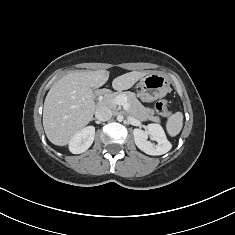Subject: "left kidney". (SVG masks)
Segmentation results:
<instances>
[{
	"instance_id": "left-kidney-1",
	"label": "left kidney",
	"mask_w": 235,
	"mask_h": 235,
	"mask_svg": "<svg viewBox=\"0 0 235 235\" xmlns=\"http://www.w3.org/2000/svg\"><path fill=\"white\" fill-rule=\"evenodd\" d=\"M133 135L136 146L148 155H163L171 149V143L159 124H148L146 131L136 128L133 130ZM148 135L157 142V145L147 140Z\"/></svg>"
}]
</instances>
